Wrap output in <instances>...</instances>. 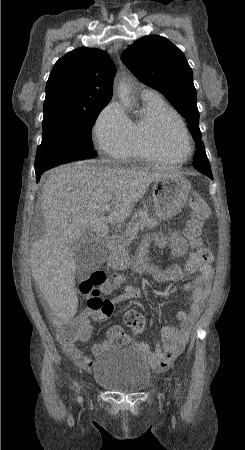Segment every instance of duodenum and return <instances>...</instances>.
<instances>
[{
    "label": "duodenum",
    "instance_id": "1",
    "mask_svg": "<svg viewBox=\"0 0 245 450\" xmlns=\"http://www.w3.org/2000/svg\"><path fill=\"white\" fill-rule=\"evenodd\" d=\"M106 243L110 248V258L109 261L114 260V255L117 253L123 245V241L120 237L117 236H109L106 237Z\"/></svg>",
    "mask_w": 245,
    "mask_h": 450
}]
</instances>
